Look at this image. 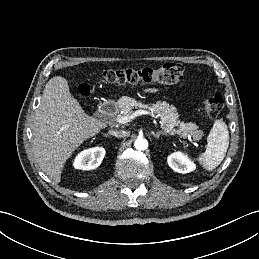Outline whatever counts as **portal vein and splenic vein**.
Wrapping results in <instances>:
<instances>
[{"label":"portal vein and splenic vein","instance_id":"1","mask_svg":"<svg viewBox=\"0 0 259 259\" xmlns=\"http://www.w3.org/2000/svg\"><path fill=\"white\" fill-rule=\"evenodd\" d=\"M140 115H151L152 117L157 118V116H155L154 113L141 109V110H137V111L133 112L130 115L118 116L116 118V121L120 124H126Z\"/></svg>","mask_w":259,"mask_h":259}]
</instances>
